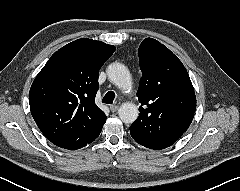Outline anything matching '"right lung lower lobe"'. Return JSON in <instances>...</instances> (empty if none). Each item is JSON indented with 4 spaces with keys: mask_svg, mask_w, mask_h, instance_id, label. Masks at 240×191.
<instances>
[{
    "mask_svg": "<svg viewBox=\"0 0 240 191\" xmlns=\"http://www.w3.org/2000/svg\"><path fill=\"white\" fill-rule=\"evenodd\" d=\"M102 127L103 125L98 128L93 134L72 141L56 143L55 145L68 150H77L93 142L99 136Z\"/></svg>",
    "mask_w": 240,
    "mask_h": 191,
    "instance_id": "98d812e1",
    "label": "right lung lower lobe"
}]
</instances>
